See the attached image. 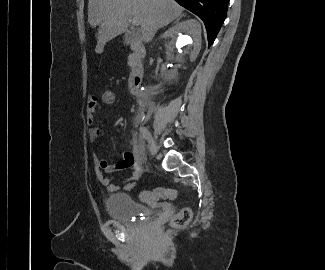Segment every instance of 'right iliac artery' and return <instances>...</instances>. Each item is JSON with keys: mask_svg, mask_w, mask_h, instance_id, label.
Listing matches in <instances>:
<instances>
[{"mask_svg": "<svg viewBox=\"0 0 325 270\" xmlns=\"http://www.w3.org/2000/svg\"><path fill=\"white\" fill-rule=\"evenodd\" d=\"M139 134L142 138L147 139V130L144 127L139 128Z\"/></svg>", "mask_w": 325, "mask_h": 270, "instance_id": "obj_1", "label": "right iliac artery"}]
</instances>
